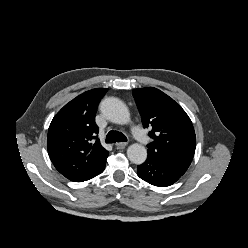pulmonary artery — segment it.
<instances>
[{"label": "pulmonary artery", "instance_id": "1", "mask_svg": "<svg viewBox=\"0 0 248 248\" xmlns=\"http://www.w3.org/2000/svg\"><path fill=\"white\" fill-rule=\"evenodd\" d=\"M132 133L134 137L139 141L140 144L142 145H147L149 142V138L147 134L138 126H134L132 128Z\"/></svg>", "mask_w": 248, "mask_h": 248}]
</instances>
